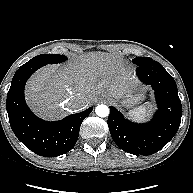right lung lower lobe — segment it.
Listing matches in <instances>:
<instances>
[{"instance_id":"1","label":"right lung lower lobe","mask_w":193,"mask_h":193,"mask_svg":"<svg viewBox=\"0 0 193 193\" xmlns=\"http://www.w3.org/2000/svg\"><path fill=\"white\" fill-rule=\"evenodd\" d=\"M42 66L25 63L16 71L7 94L6 107L10 126L16 137L34 153L55 157L74 147L81 123L93 108L90 107L56 122L36 117L25 103L24 87L27 79Z\"/></svg>"}]
</instances>
